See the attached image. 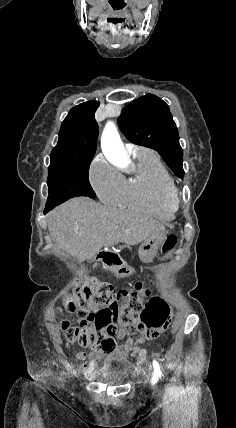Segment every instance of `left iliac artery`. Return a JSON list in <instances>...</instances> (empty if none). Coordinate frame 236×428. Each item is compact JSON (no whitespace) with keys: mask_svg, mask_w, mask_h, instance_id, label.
Returning <instances> with one entry per match:
<instances>
[{"mask_svg":"<svg viewBox=\"0 0 236 428\" xmlns=\"http://www.w3.org/2000/svg\"><path fill=\"white\" fill-rule=\"evenodd\" d=\"M153 367H154V374L153 377H161V371H160V366L158 364V362L156 360L153 361Z\"/></svg>","mask_w":236,"mask_h":428,"instance_id":"1","label":"left iliac artery"}]
</instances>
